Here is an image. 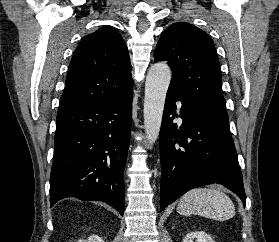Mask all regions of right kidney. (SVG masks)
<instances>
[{"label": "right kidney", "mask_w": 279, "mask_h": 242, "mask_svg": "<svg viewBox=\"0 0 279 242\" xmlns=\"http://www.w3.org/2000/svg\"><path fill=\"white\" fill-rule=\"evenodd\" d=\"M78 242H104V241L101 237L92 235L88 238V240H79Z\"/></svg>", "instance_id": "obj_1"}]
</instances>
